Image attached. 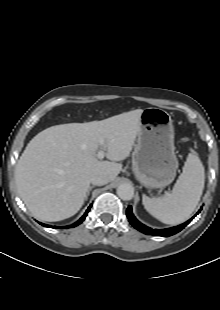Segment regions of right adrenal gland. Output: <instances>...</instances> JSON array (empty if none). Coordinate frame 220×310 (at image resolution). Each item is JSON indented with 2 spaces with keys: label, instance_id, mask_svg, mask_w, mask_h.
I'll list each match as a JSON object with an SVG mask.
<instances>
[{
  "label": "right adrenal gland",
  "instance_id": "obj_1",
  "mask_svg": "<svg viewBox=\"0 0 220 310\" xmlns=\"http://www.w3.org/2000/svg\"><path fill=\"white\" fill-rule=\"evenodd\" d=\"M92 189H93V186L89 187L88 192H87V195H86V197H85V200L88 199V196L90 195V191H91Z\"/></svg>",
  "mask_w": 220,
  "mask_h": 310
}]
</instances>
